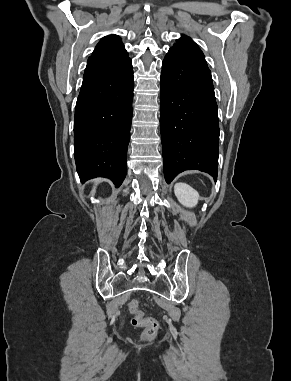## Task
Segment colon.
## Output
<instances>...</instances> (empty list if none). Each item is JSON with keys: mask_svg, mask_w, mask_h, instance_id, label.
Instances as JSON below:
<instances>
[{"mask_svg": "<svg viewBox=\"0 0 291 381\" xmlns=\"http://www.w3.org/2000/svg\"><path fill=\"white\" fill-rule=\"evenodd\" d=\"M128 311L133 315L131 323L136 327L144 328V337L151 339L156 335L158 330V323L155 319L146 317L144 313L139 308V301L132 299L128 303Z\"/></svg>", "mask_w": 291, "mask_h": 381, "instance_id": "colon-1", "label": "colon"}]
</instances>
